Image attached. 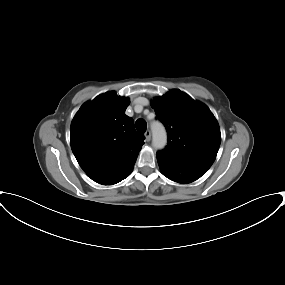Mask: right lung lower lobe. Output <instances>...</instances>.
<instances>
[{
    "label": "right lung lower lobe",
    "instance_id": "right-lung-lower-lobe-1",
    "mask_svg": "<svg viewBox=\"0 0 285 285\" xmlns=\"http://www.w3.org/2000/svg\"><path fill=\"white\" fill-rule=\"evenodd\" d=\"M132 169H133V167L130 168L121 178H119V179H118L117 181H115L113 184H116V183L122 181L123 179H125L126 177H128L129 174L131 173Z\"/></svg>",
    "mask_w": 285,
    "mask_h": 285
}]
</instances>
